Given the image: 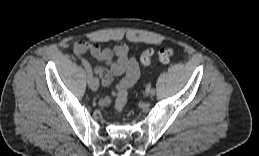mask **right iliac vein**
<instances>
[{
    "instance_id": "1",
    "label": "right iliac vein",
    "mask_w": 259,
    "mask_h": 156,
    "mask_svg": "<svg viewBox=\"0 0 259 156\" xmlns=\"http://www.w3.org/2000/svg\"><path fill=\"white\" fill-rule=\"evenodd\" d=\"M98 83L96 81L95 78H93V80L91 81V83L89 84V87L93 90L96 91L98 89Z\"/></svg>"
}]
</instances>
